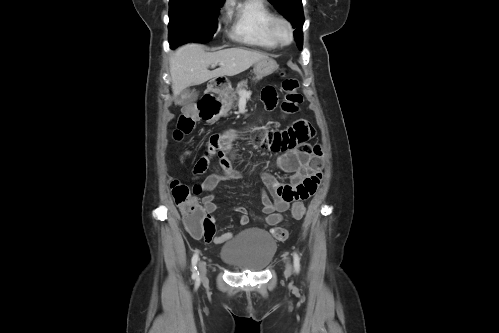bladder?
I'll use <instances>...</instances> for the list:
<instances>
[{"instance_id": "bladder-1", "label": "bladder", "mask_w": 499, "mask_h": 333, "mask_svg": "<svg viewBox=\"0 0 499 333\" xmlns=\"http://www.w3.org/2000/svg\"><path fill=\"white\" fill-rule=\"evenodd\" d=\"M276 249L277 243L268 232L248 228L226 242L219 256L235 271L261 272L271 263Z\"/></svg>"}]
</instances>
